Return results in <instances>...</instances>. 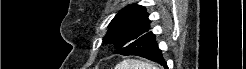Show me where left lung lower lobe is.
I'll return each instance as SVG.
<instances>
[{
  "label": "left lung lower lobe",
  "instance_id": "1",
  "mask_svg": "<svg viewBox=\"0 0 246 69\" xmlns=\"http://www.w3.org/2000/svg\"><path fill=\"white\" fill-rule=\"evenodd\" d=\"M114 53L121 55H137L166 67V61L157 46L155 35L152 32L145 33L127 46L117 49Z\"/></svg>",
  "mask_w": 246,
  "mask_h": 69
}]
</instances>
